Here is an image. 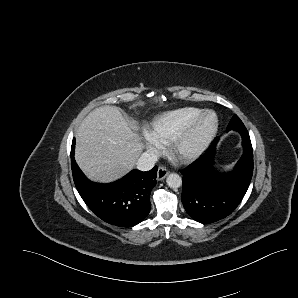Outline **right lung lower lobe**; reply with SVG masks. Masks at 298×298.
I'll use <instances>...</instances> for the list:
<instances>
[{
	"label": "right lung lower lobe",
	"mask_w": 298,
	"mask_h": 298,
	"mask_svg": "<svg viewBox=\"0 0 298 298\" xmlns=\"http://www.w3.org/2000/svg\"><path fill=\"white\" fill-rule=\"evenodd\" d=\"M71 166L75 186L87 206L103 221L121 227L140 223L150 211V194L156 185L157 166L147 172L132 170L120 180L99 184L88 180L74 159Z\"/></svg>",
	"instance_id": "1"
}]
</instances>
